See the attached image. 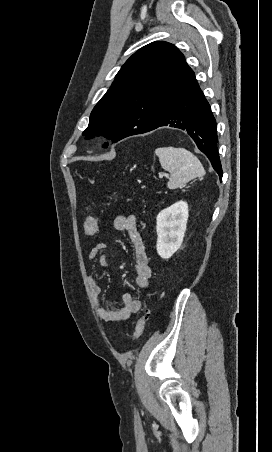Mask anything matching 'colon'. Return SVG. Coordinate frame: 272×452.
<instances>
[{"instance_id":"obj_1","label":"colon","mask_w":272,"mask_h":452,"mask_svg":"<svg viewBox=\"0 0 272 452\" xmlns=\"http://www.w3.org/2000/svg\"><path fill=\"white\" fill-rule=\"evenodd\" d=\"M84 231L87 235H94L98 231V219L94 215H90L84 221ZM149 316V309L145 308L142 312L141 317L137 321L132 339L137 340L142 336L145 330L146 321Z\"/></svg>"}]
</instances>
